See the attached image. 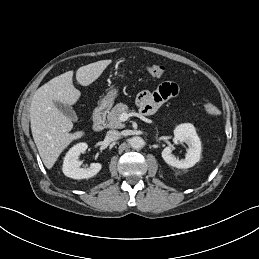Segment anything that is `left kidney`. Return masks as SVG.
I'll list each match as a JSON object with an SVG mask.
<instances>
[{"label": "left kidney", "instance_id": "5707ae66", "mask_svg": "<svg viewBox=\"0 0 259 259\" xmlns=\"http://www.w3.org/2000/svg\"><path fill=\"white\" fill-rule=\"evenodd\" d=\"M173 142L175 144L185 142L188 145V151L185 158L179 160L172 154L173 146L164 148L162 158L167 164L179 169H186L193 167L200 160L201 142L192 124L185 123L177 126L174 130Z\"/></svg>", "mask_w": 259, "mask_h": 259}]
</instances>
